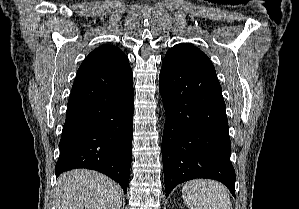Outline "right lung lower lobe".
I'll return each instance as SVG.
<instances>
[{
    "instance_id": "obj_1",
    "label": "right lung lower lobe",
    "mask_w": 299,
    "mask_h": 209,
    "mask_svg": "<svg viewBox=\"0 0 299 209\" xmlns=\"http://www.w3.org/2000/svg\"><path fill=\"white\" fill-rule=\"evenodd\" d=\"M133 74L78 72L67 104L55 174L99 171L127 191L133 137Z\"/></svg>"
}]
</instances>
